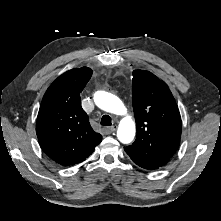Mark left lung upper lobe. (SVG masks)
<instances>
[{"instance_id": "obj_1", "label": "left lung upper lobe", "mask_w": 221, "mask_h": 221, "mask_svg": "<svg viewBox=\"0 0 221 221\" xmlns=\"http://www.w3.org/2000/svg\"><path fill=\"white\" fill-rule=\"evenodd\" d=\"M132 103L137 126L135 142L124 148L130 158L163 166L176 152L181 117L168 86L145 70H134Z\"/></svg>"}]
</instances>
